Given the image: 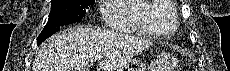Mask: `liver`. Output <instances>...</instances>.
Returning <instances> with one entry per match:
<instances>
[{"label": "liver", "instance_id": "6515ba94", "mask_svg": "<svg viewBox=\"0 0 230 71\" xmlns=\"http://www.w3.org/2000/svg\"><path fill=\"white\" fill-rule=\"evenodd\" d=\"M152 42L140 36L73 27L49 38L35 57L33 71H88L101 54L102 71H118L131 58L150 47Z\"/></svg>", "mask_w": 230, "mask_h": 71}]
</instances>
